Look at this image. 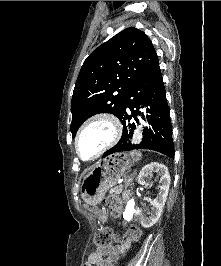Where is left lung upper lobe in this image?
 I'll list each match as a JSON object with an SVG mask.
<instances>
[{
	"label": "left lung upper lobe",
	"mask_w": 221,
	"mask_h": 266,
	"mask_svg": "<svg viewBox=\"0 0 221 266\" xmlns=\"http://www.w3.org/2000/svg\"><path fill=\"white\" fill-rule=\"evenodd\" d=\"M158 65L151 40L133 27L96 48L84 61L73 91L72 136L95 114L112 113L120 119L130 87Z\"/></svg>",
	"instance_id": "obj_1"
}]
</instances>
